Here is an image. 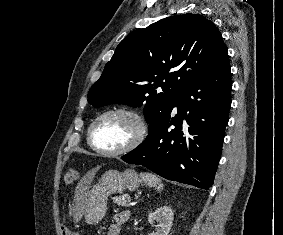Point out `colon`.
<instances>
[{
  "instance_id": "colon-1",
  "label": "colon",
  "mask_w": 283,
  "mask_h": 235,
  "mask_svg": "<svg viewBox=\"0 0 283 235\" xmlns=\"http://www.w3.org/2000/svg\"><path fill=\"white\" fill-rule=\"evenodd\" d=\"M78 173L75 169L70 168L64 174V182L69 185L72 184L77 179ZM64 235H70L68 230H64Z\"/></svg>"
}]
</instances>
